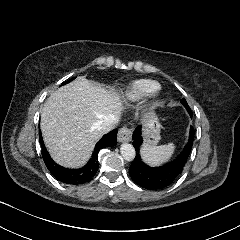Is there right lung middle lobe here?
Segmentation results:
<instances>
[{
	"mask_svg": "<svg viewBox=\"0 0 240 240\" xmlns=\"http://www.w3.org/2000/svg\"><path fill=\"white\" fill-rule=\"evenodd\" d=\"M72 80H74V78H72V79L68 80L66 83H69V82H70V81H72ZM66 83H64V84H66Z\"/></svg>",
	"mask_w": 240,
	"mask_h": 240,
	"instance_id": "obj_1",
	"label": "right lung middle lobe"
}]
</instances>
